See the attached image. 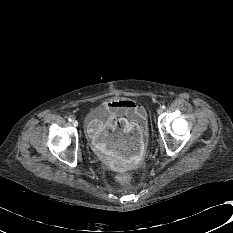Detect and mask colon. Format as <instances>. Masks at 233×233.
<instances>
[{
    "label": "colon",
    "instance_id": "1",
    "mask_svg": "<svg viewBox=\"0 0 233 233\" xmlns=\"http://www.w3.org/2000/svg\"><path fill=\"white\" fill-rule=\"evenodd\" d=\"M114 127L117 129V130H121L122 128H124V124L121 122V121H116L114 123ZM117 180L118 182H120L121 184H128L130 181H131V176L130 174L128 173H120L118 174L117 176Z\"/></svg>",
    "mask_w": 233,
    "mask_h": 233
}]
</instances>
